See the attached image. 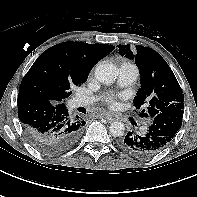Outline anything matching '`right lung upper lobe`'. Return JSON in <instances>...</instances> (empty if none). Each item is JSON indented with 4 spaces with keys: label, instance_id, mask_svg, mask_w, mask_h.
<instances>
[{
    "label": "right lung upper lobe",
    "instance_id": "1",
    "mask_svg": "<svg viewBox=\"0 0 197 197\" xmlns=\"http://www.w3.org/2000/svg\"><path fill=\"white\" fill-rule=\"evenodd\" d=\"M114 48L107 44L84 42H63L52 46L31 66L21 82L20 90L37 93L34 84L38 79H43L56 84L62 94L69 93L71 88L84 83L93 66ZM49 101L58 104L56 100Z\"/></svg>",
    "mask_w": 197,
    "mask_h": 197
}]
</instances>
